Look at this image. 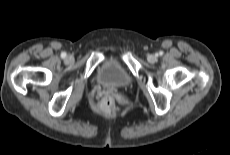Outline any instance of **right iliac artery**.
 I'll return each instance as SVG.
<instances>
[{"instance_id":"obj_1","label":"right iliac artery","mask_w":230,"mask_h":155,"mask_svg":"<svg viewBox=\"0 0 230 155\" xmlns=\"http://www.w3.org/2000/svg\"><path fill=\"white\" fill-rule=\"evenodd\" d=\"M66 56H67V54H66L65 52H62V53H61V57H62V58H65Z\"/></svg>"}]
</instances>
